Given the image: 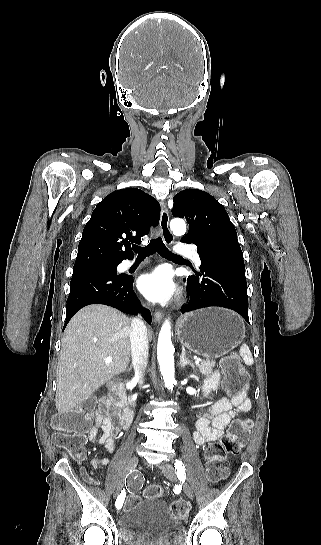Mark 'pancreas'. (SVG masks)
<instances>
[{
  "instance_id": "pancreas-1",
  "label": "pancreas",
  "mask_w": 321,
  "mask_h": 545,
  "mask_svg": "<svg viewBox=\"0 0 321 545\" xmlns=\"http://www.w3.org/2000/svg\"><path fill=\"white\" fill-rule=\"evenodd\" d=\"M201 375H211L213 373V367H215V361H210V359H206V361H200V365H197Z\"/></svg>"
}]
</instances>
